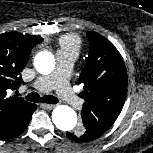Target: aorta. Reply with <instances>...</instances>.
<instances>
[{
  "label": "aorta",
  "instance_id": "762f6f07",
  "mask_svg": "<svg viewBox=\"0 0 153 153\" xmlns=\"http://www.w3.org/2000/svg\"><path fill=\"white\" fill-rule=\"evenodd\" d=\"M34 66L41 74H50L55 68V58L48 51L38 53L34 59ZM55 126L62 131H71L77 124L75 111L66 105H58L52 112Z\"/></svg>",
  "mask_w": 153,
  "mask_h": 153
}]
</instances>
